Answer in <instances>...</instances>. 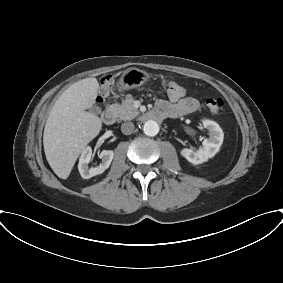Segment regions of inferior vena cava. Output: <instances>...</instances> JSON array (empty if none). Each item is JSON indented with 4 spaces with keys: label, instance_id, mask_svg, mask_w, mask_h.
<instances>
[{
    "label": "inferior vena cava",
    "instance_id": "602c4592",
    "mask_svg": "<svg viewBox=\"0 0 283 283\" xmlns=\"http://www.w3.org/2000/svg\"><path fill=\"white\" fill-rule=\"evenodd\" d=\"M134 124L132 122H124L121 125V131L125 135H130L134 131Z\"/></svg>",
    "mask_w": 283,
    "mask_h": 283
}]
</instances>
